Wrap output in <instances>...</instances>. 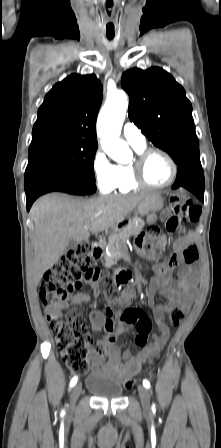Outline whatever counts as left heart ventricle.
<instances>
[{
  "label": "left heart ventricle",
  "instance_id": "1",
  "mask_svg": "<svg viewBox=\"0 0 221 448\" xmlns=\"http://www.w3.org/2000/svg\"><path fill=\"white\" fill-rule=\"evenodd\" d=\"M145 174L152 184H164L172 176V168L166 158L160 154H153L149 157Z\"/></svg>",
  "mask_w": 221,
  "mask_h": 448
}]
</instances>
